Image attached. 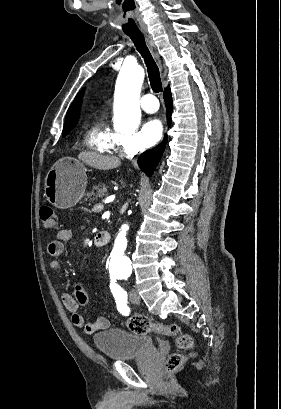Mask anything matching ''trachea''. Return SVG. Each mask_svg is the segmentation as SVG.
<instances>
[{"label":"trachea","instance_id":"1","mask_svg":"<svg viewBox=\"0 0 281 409\" xmlns=\"http://www.w3.org/2000/svg\"><path fill=\"white\" fill-rule=\"evenodd\" d=\"M126 35L130 37L136 49L138 50V52L142 55V58L144 59V62L146 64L147 71H148L150 85L152 87L153 92L155 93L162 92L163 87H162L159 69L146 45L144 35L140 31L126 33Z\"/></svg>","mask_w":281,"mask_h":409}]
</instances>
